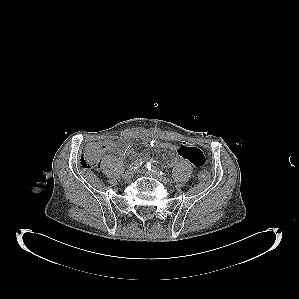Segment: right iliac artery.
Returning a JSON list of instances; mask_svg holds the SVG:
<instances>
[{"mask_svg": "<svg viewBox=\"0 0 299 299\" xmlns=\"http://www.w3.org/2000/svg\"><path fill=\"white\" fill-rule=\"evenodd\" d=\"M143 164V161H142V159H137L136 161H134L132 164H130L129 165V168L131 169V170H135V169H137L139 166H141Z\"/></svg>", "mask_w": 299, "mask_h": 299, "instance_id": "1", "label": "right iliac artery"}]
</instances>
